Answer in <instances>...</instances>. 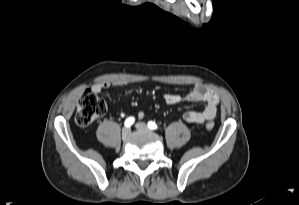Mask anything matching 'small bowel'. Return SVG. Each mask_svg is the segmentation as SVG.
<instances>
[{
  "mask_svg": "<svg viewBox=\"0 0 299 205\" xmlns=\"http://www.w3.org/2000/svg\"><path fill=\"white\" fill-rule=\"evenodd\" d=\"M114 84L109 82L96 83L91 90L94 93H100L102 90L110 89ZM164 101L169 105L179 104L181 102H202L205 108L202 111H187L184 113V119L188 123L202 124L205 121L213 120L217 113L219 105L218 95L211 89L201 84H195L187 95L181 96L175 93H166ZM143 112L138 113V118H143Z\"/></svg>",
  "mask_w": 299,
  "mask_h": 205,
  "instance_id": "small-bowel-1",
  "label": "small bowel"
}]
</instances>
